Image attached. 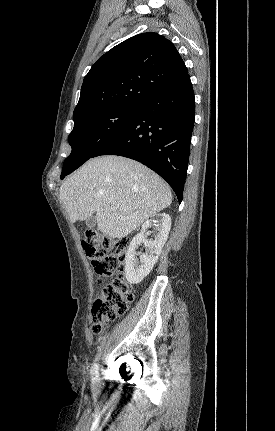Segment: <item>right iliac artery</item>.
Wrapping results in <instances>:
<instances>
[{
	"label": "right iliac artery",
	"mask_w": 275,
	"mask_h": 431,
	"mask_svg": "<svg viewBox=\"0 0 275 431\" xmlns=\"http://www.w3.org/2000/svg\"><path fill=\"white\" fill-rule=\"evenodd\" d=\"M100 350H101V348H100ZM97 361H98V356L95 358V361L91 367V375L93 376L94 380H96L98 377V363H97Z\"/></svg>",
	"instance_id": "82829eb1"
}]
</instances>
